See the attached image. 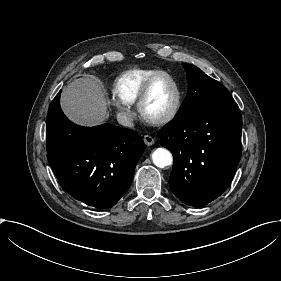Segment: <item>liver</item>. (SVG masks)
Wrapping results in <instances>:
<instances>
[{
    "mask_svg": "<svg viewBox=\"0 0 281 281\" xmlns=\"http://www.w3.org/2000/svg\"><path fill=\"white\" fill-rule=\"evenodd\" d=\"M60 107L68 120L81 127L100 126L109 118L102 87L88 77L74 79L62 89Z\"/></svg>",
    "mask_w": 281,
    "mask_h": 281,
    "instance_id": "6515ba94",
    "label": "liver"
}]
</instances>
